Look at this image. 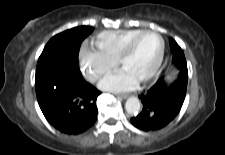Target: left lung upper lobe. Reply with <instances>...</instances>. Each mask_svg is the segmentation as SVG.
Here are the masks:
<instances>
[{"label": "left lung upper lobe", "mask_w": 225, "mask_h": 155, "mask_svg": "<svg viewBox=\"0 0 225 155\" xmlns=\"http://www.w3.org/2000/svg\"><path fill=\"white\" fill-rule=\"evenodd\" d=\"M170 46L171 51L173 53V64L179 69V81L185 82L187 84L188 81V70H187V63L183 53V50L180 46L176 43L174 39H170ZM164 77H161L160 80H163Z\"/></svg>", "instance_id": "5c2ea615"}]
</instances>
